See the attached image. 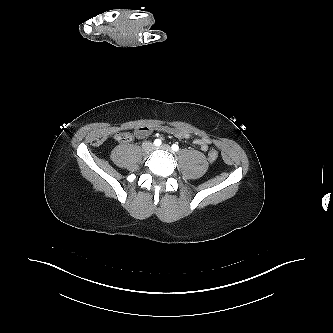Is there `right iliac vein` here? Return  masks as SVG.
<instances>
[{
  "label": "right iliac vein",
  "instance_id": "63e3f726",
  "mask_svg": "<svg viewBox=\"0 0 333 333\" xmlns=\"http://www.w3.org/2000/svg\"><path fill=\"white\" fill-rule=\"evenodd\" d=\"M142 148L145 153H150L154 149V146L151 142H145L143 143Z\"/></svg>",
  "mask_w": 333,
  "mask_h": 333
}]
</instances>
